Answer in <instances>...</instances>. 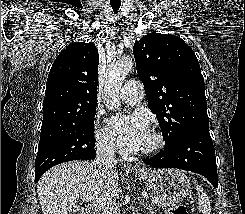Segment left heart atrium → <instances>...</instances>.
I'll return each instance as SVG.
<instances>
[{
	"mask_svg": "<svg viewBox=\"0 0 245 214\" xmlns=\"http://www.w3.org/2000/svg\"><path fill=\"white\" fill-rule=\"evenodd\" d=\"M110 136L122 152L137 151L148 135V124L141 115L119 116L109 120Z\"/></svg>",
	"mask_w": 245,
	"mask_h": 214,
	"instance_id": "39dd6f15",
	"label": "left heart atrium"
}]
</instances>
